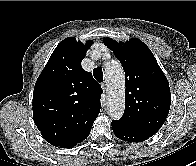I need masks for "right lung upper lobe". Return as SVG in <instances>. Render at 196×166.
<instances>
[{
	"mask_svg": "<svg viewBox=\"0 0 196 166\" xmlns=\"http://www.w3.org/2000/svg\"><path fill=\"white\" fill-rule=\"evenodd\" d=\"M92 41L64 39L39 75L33 93V117L51 145L71 148L85 140L101 109L102 88L81 67Z\"/></svg>",
	"mask_w": 196,
	"mask_h": 166,
	"instance_id": "obj_1",
	"label": "right lung upper lobe"
}]
</instances>
